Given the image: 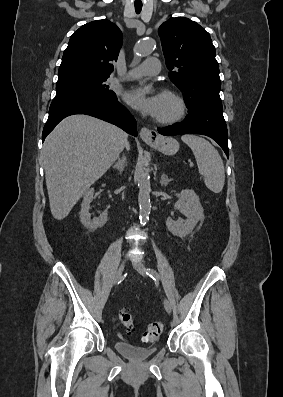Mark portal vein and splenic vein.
<instances>
[{"label": "portal vein and splenic vein", "instance_id": "18ae733b", "mask_svg": "<svg viewBox=\"0 0 283 397\" xmlns=\"http://www.w3.org/2000/svg\"><path fill=\"white\" fill-rule=\"evenodd\" d=\"M190 167H193V163L192 162L190 163Z\"/></svg>", "mask_w": 283, "mask_h": 397}]
</instances>
